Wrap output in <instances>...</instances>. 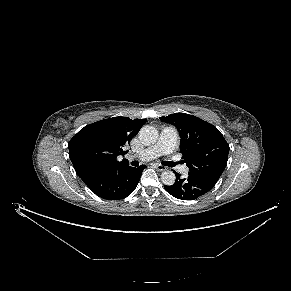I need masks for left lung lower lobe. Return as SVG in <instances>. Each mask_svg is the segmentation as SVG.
I'll return each instance as SVG.
<instances>
[{
	"label": "left lung lower lobe",
	"instance_id": "0a47b994",
	"mask_svg": "<svg viewBox=\"0 0 291 291\" xmlns=\"http://www.w3.org/2000/svg\"><path fill=\"white\" fill-rule=\"evenodd\" d=\"M176 173L173 185H165V190L181 200H194L210 191L220 178L217 173H189L187 178H181Z\"/></svg>",
	"mask_w": 291,
	"mask_h": 291
}]
</instances>
